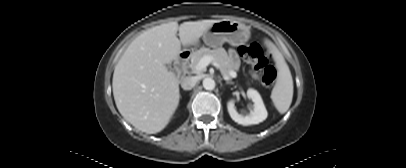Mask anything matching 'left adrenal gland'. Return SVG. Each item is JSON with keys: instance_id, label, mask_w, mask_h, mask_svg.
<instances>
[{"instance_id": "obj_1", "label": "left adrenal gland", "mask_w": 406, "mask_h": 168, "mask_svg": "<svg viewBox=\"0 0 406 168\" xmlns=\"http://www.w3.org/2000/svg\"><path fill=\"white\" fill-rule=\"evenodd\" d=\"M226 84H234V82L227 80Z\"/></svg>"}]
</instances>
